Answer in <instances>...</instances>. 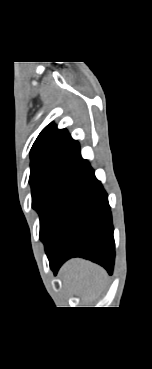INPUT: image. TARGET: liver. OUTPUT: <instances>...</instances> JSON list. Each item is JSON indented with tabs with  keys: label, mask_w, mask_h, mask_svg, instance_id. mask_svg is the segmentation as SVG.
Wrapping results in <instances>:
<instances>
[{
	"label": "liver",
	"mask_w": 152,
	"mask_h": 369,
	"mask_svg": "<svg viewBox=\"0 0 152 369\" xmlns=\"http://www.w3.org/2000/svg\"><path fill=\"white\" fill-rule=\"evenodd\" d=\"M60 276L74 288L76 295L85 300H94L103 291L106 272L92 262L72 259L61 268Z\"/></svg>",
	"instance_id": "6515ba94"
}]
</instances>
